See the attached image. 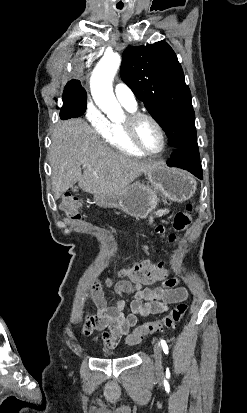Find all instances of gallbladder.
<instances>
[{"instance_id":"gallbladder-1","label":"gallbladder","mask_w":247,"mask_h":413,"mask_svg":"<svg viewBox=\"0 0 247 413\" xmlns=\"http://www.w3.org/2000/svg\"><path fill=\"white\" fill-rule=\"evenodd\" d=\"M78 186H72V190H74V192H76Z\"/></svg>"}]
</instances>
